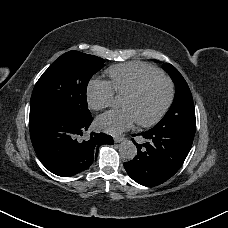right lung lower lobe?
<instances>
[{"instance_id":"98d812e1","label":"right lung lower lobe","mask_w":228,"mask_h":228,"mask_svg":"<svg viewBox=\"0 0 228 228\" xmlns=\"http://www.w3.org/2000/svg\"><path fill=\"white\" fill-rule=\"evenodd\" d=\"M91 122L92 117L79 122L53 114L30 117L34 150L50 172L62 177L80 173L93 163L100 145L113 144L107 134H88Z\"/></svg>"}]
</instances>
